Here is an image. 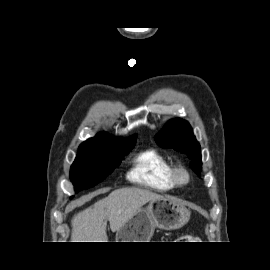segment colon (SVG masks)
Segmentation results:
<instances>
[{"label":"colon","mask_w":270,"mask_h":270,"mask_svg":"<svg viewBox=\"0 0 270 270\" xmlns=\"http://www.w3.org/2000/svg\"><path fill=\"white\" fill-rule=\"evenodd\" d=\"M189 236H182L181 239H187Z\"/></svg>","instance_id":"colon-1"}]
</instances>
